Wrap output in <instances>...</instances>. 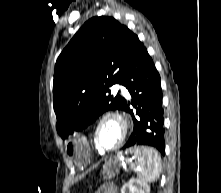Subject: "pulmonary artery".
Segmentation results:
<instances>
[{
	"label": "pulmonary artery",
	"instance_id": "e3ab8cb5",
	"mask_svg": "<svg viewBox=\"0 0 221 193\" xmlns=\"http://www.w3.org/2000/svg\"><path fill=\"white\" fill-rule=\"evenodd\" d=\"M115 89H116V90L121 89L122 93H123L126 97L129 96L128 91H127L126 88L123 87L122 85L116 84V85H115Z\"/></svg>",
	"mask_w": 221,
	"mask_h": 193
}]
</instances>
